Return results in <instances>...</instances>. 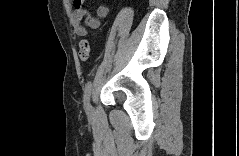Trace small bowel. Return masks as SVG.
Returning a JSON list of instances; mask_svg holds the SVG:
<instances>
[{
	"label": "small bowel",
	"instance_id": "1",
	"mask_svg": "<svg viewBox=\"0 0 239 156\" xmlns=\"http://www.w3.org/2000/svg\"><path fill=\"white\" fill-rule=\"evenodd\" d=\"M74 16L73 26L74 31L79 36H86L88 30L98 29L101 25V20L107 19L110 14V9L107 6H100L96 16H91L86 10V0H74Z\"/></svg>",
	"mask_w": 239,
	"mask_h": 156
}]
</instances>
